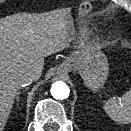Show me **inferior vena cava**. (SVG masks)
I'll use <instances>...</instances> for the list:
<instances>
[{
  "label": "inferior vena cava",
  "mask_w": 131,
  "mask_h": 131,
  "mask_svg": "<svg viewBox=\"0 0 131 131\" xmlns=\"http://www.w3.org/2000/svg\"><path fill=\"white\" fill-rule=\"evenodd\" d=\"M37 79L38 77L34 73H27L20 78L19 83L20 86L25 87L31 84L33 80H37Z\"/></svg>",
  "instance_id": "1"
}]
</instances>
